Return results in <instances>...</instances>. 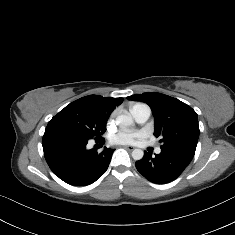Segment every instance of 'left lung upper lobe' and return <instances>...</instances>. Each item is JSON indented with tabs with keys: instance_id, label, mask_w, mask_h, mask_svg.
Here are the masks:
<instances>
[{
	"instance_id": "5c2ea615",
	"label": "left lung upper lobe",
	"mask_w": 235,
	"mask_h": 235,
	"mask_svg": "<svg viewBox=\"0 0 235 235\" xmlns=\"http://www.w3.org/2000/svg\"><path fill=\"white\" fill-rule=\"evenodd\" d=\"M147 103L155 118L156 137L162 148L179 149L195 154L199 125L197 113L180 100L161 93H143L127 97Z\"/></svg>"
}]
</instances>
